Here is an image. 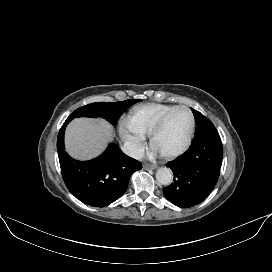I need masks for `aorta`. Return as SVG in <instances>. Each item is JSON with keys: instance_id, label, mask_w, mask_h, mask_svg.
I'll return each mask as SVG.
<instances>
[{"instance_id": "obj_1", "label": "aorta", "mask_w": 272, "mask_h": 272, "mask_svg": "<svg viewBox=\"0 0 272 272\" xmlns=\"http://www.w3.org/2000/svg\"><path fill=\"white\" fill-rule=\"evenodd\" d=\"M156 179L162 185H169L173 179V173L167 167L159 168L156 172Z\"/></svg>"}]
</instances>
